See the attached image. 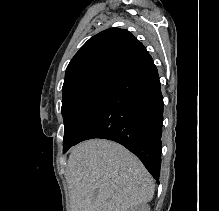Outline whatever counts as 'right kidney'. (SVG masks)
I'll return each instance as SVG.
<instances>
[{
  "instance_id": "1",
  "label": "right kidney",
  "mask_w": 219,
  "mask_h": 211,
  "mask_svg": "<svg viewBox=\"0 0 219 211\" xmlns=\"http://www.w3.org/2000/svg\"><path fill=\"white\" fill-rule=\"evenodd\" d=\"M133 211H150V205H148V203H144V205H136Z\"/></svg>"
}]
</instances>
